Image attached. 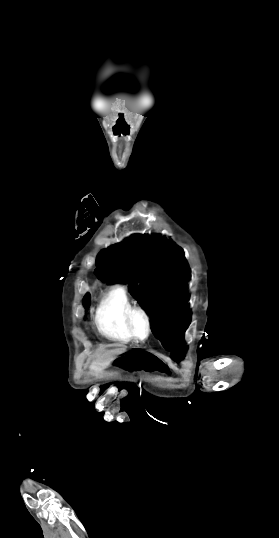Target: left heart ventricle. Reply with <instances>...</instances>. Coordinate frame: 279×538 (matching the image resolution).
<instances>
[{
  "label": "left heart ventricle",
  "mask_w": 279,
  "mask_h": 538,
  "mask_svg": "<svg viewBox=\"0 0 279 538\" xmlns=\"http://www.w3.org/2000/svg\"><path fill=\"white\" fill-rule=\"evenodd\" d=\"M133 330L138 337H144L146 334L144 320L139 315H136L133 319Z\"/></svg>",
  "instance_id": "b2bd125f"
}]
</instances>
